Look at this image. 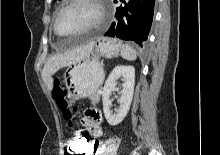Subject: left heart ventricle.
Returning a JSON list of instances; mask_svg holds the SVG:
<instances>
[{"instance_id":"left-heart-ventricle-1","label":"left heart ventricle","mask_w":220,"mask_h":155,"mask_svg":"<svg viewBox=\"0 0 220 155\" xmlns=\"http://www.w3.org/2000/svg\"><path fill=\"white\" fill-rule=\"evenodd\" d=\"M97 17L95 7L87 2L78 3L63 11L57 20V31L68 36L89 25Z\"/></svg>"}]
</instances>
